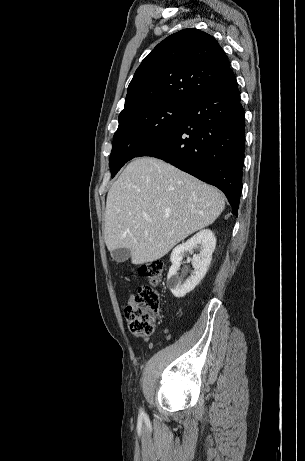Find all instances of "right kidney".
Returning <instances> with one entry per match:
<instances>
[{
    "label": "right kidney",
    "mask_w": 305,
    "mask_h": 461,
    "mask_svg": "<svg viewBox=\"0 0 305 461\" xmlns=\"http://www.w3.org/2000/svg\"><path fill=\"white\" fill-rule=\"evenodd\" d=\"M215 246L216 238L213 232L209 229H204L195 234L185 243H182L173 249L170 256L172 266L170 267L167 276V287L175 297H184L200 283L207 273ZM196 248L200 249V254L193 255L192 266L194 268V272L183 282L182 278L177 275L183 255L185 252H193V249Z\"/></svg>",
    "instance_id": "ca27d5eb"
}]
</instances>
